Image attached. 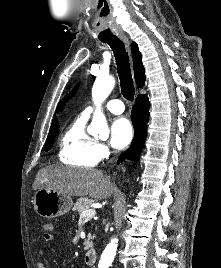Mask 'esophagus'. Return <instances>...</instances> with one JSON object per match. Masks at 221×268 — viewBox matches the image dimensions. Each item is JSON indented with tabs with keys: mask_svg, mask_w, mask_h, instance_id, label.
Returning <instances> with one entry per match:
<instances>
[{
	"mask_svg": "<svg viewBox=\"0 0 221 268\" xmlns=\"http://www.w3.org/2000/svg\"><path fill=\"white\" fill-rule=\"evenodd\" d=\"M120 38L126 43L127 47H129L130 43L126 35H120Z\"/></svg>",
	"mask_w": 221,
	"mask_h": 268,
	"instance_id": "34e87169",
	"label": "esophagus"
}]
</instances>
